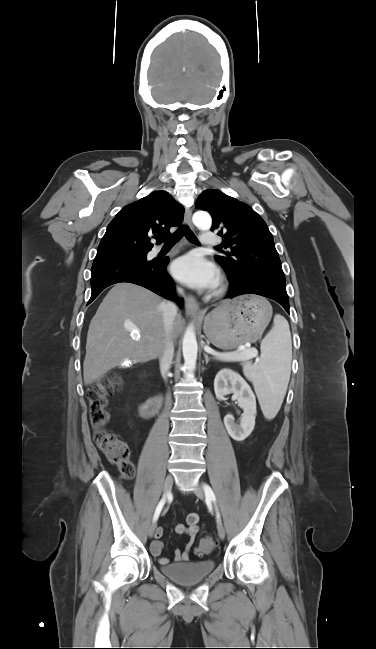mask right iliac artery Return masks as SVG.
Instances as JSON below:
<instances>
[{
    "instance_id": "1",
    "label": "right iliac artery",
    "mask_w": 376,
    "mask_h": 649,
    "mask_svg": "<svg viewBox=\"0 0 376 649\" xmlns=\"http://www.w3.org/2000/svg\"><path fill=\"white\" fill-rule=\"evenodd\" d=\"M168 496H169V494L165 495V496L160 500L159 504L157 505L156 510H155V513H154V516H153V522H155V521L159 518V515H160V513H161V510H162V508H163V506H164V504H165V502H166V497H168Z\"/></svg>"
}]
</instances>
